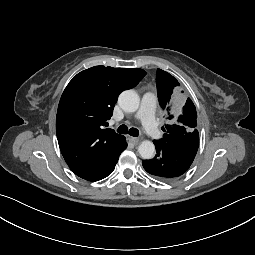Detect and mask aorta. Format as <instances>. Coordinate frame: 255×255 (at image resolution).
I'll use <instances>...</instances> for the list:
<instances>
[{
    "mask_svg": "<svg viewBox=\"0 0 255 255\" xmlns=\"http://www.w3.org/2000/svg\"><path fill=\"white\" fill-rule=\"evenodd\" d=\"M118 104L125 112H135L139 108L140 98L134 90H125L119 95ZM138 152L143 159H152L155 146L153 142L144 140L139 145Z\"/></svg>",
    "mask_w": 255,
    "mask_h": 255,
    "instance_id": "obj_1",
    "label": "aorta"
}]
</instances>
